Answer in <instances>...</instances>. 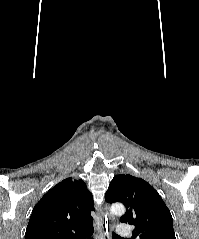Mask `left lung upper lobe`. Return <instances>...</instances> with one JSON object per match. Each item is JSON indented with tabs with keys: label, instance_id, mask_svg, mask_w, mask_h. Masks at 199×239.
<instances>
[{
	"label": "left lung upper lobe",
	"instance_id": "1",
	"mask_svg": "<svg viewBox=\"0 0 199 239\" xmlns=\"http://www.w3.org/2000/svg\"><path fill=\"white\" fill-rule=\"evenodd\" d=\"M105 200L126 206L120 221L135 225L133 239H176L169 209L158 192L143 179L129 174L116 175Z\"/></svg>",
	"mask_w": 199,
	"mask_h": 239
}]
</instances>
